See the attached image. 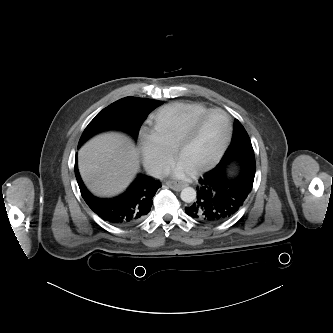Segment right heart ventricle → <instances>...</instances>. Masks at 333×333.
<instances>
[{
    "label": "right heart ventricle",
    "instance_id": "obj_1",
    "mask_svg": "<svg viewBox=\"0 0 333 333\" xmlns=\"http://www.w3.org/2000/svg\"><path fill=\"white\" fill-rule=\"evenodd\" d=\"M209 108L197 102H174L160 108L151 119L152 131L171 149L197 117Z\"/></svg>",
    "mask_w": 333,
    "mask_h": 333
}]
</instances>
